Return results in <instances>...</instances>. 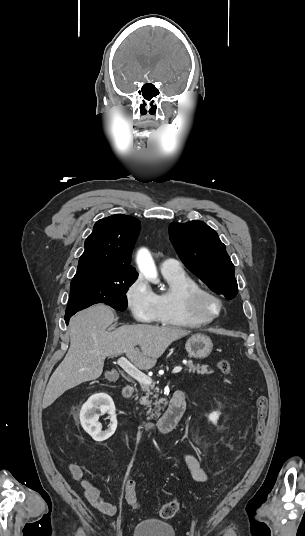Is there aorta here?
<instances>
[{"label":"aorta","instance_id":"762f6f07","mask_svg":"<svg viewBox=\"0 0 305 536\" xmlns=\"http://www.w3.org/2000/svg\"><path fill=\"white\" fill-rule=\"evenodd\" d=\"M137 265L140 272L145 276V278L151 280L152 282H157L158 275L155 263L150 252L147 249H140L137 253Z\"/></svg>","mask_w":305,"mask_h":536}]
</instances>
